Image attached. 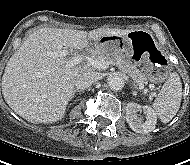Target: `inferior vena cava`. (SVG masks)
<instances>
[{"instance_id":"1","label":"inferior vena cava","mask_w":190,"mask_h":165,"mask_svg":"<svg viewBox=\"0 0 190 165\" xmlns=\"http://www.w3.org/2000/svg\"><path fill=\"white\" fill-rule=\"evenodd\" d=\"M98 79L99 74L97 72L84 71L76 77L75 86L77 89L84 90L89 88Z\"/></svg>"}]
</instances>
